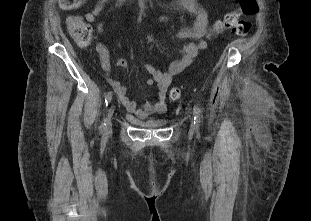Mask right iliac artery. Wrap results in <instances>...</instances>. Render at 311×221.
<instances>
[{
	"label": "right iliac artery",
	"mask_w": 311,
	"mask_h": 221,
	"mask_svg": "<svg viewBox=\"0 0 311 221\" xmlns=\"http://www.w3.org/2000/svg\"><path fill=\"white\" fill-rule=\"evenodd\" d=\"M112 99V92H108L107 95L105 96V104L106 106H108V104L110 103ZM106 129V122H105V119L104 121L102 122L101 126H100V131H105Z\"/></svg>",
	"instance_id": "82829eb1"
}]
</instances>
